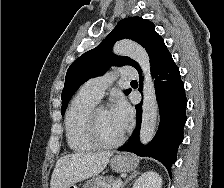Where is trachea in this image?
I'll return each instance as SVG.
<instances>
[{"label": "trachea", "instance_id": "3493384b", "mask_svg": "<svg viewBox=\"0 0 224 188\" xmlns=\"http://www.w3.org/2000/svg\"><path fill=\"white\" fill-rule=\"evenodd\" d=\"M131 83H137V81L136 80H132Z\"/></svg>", "mask_w": 224, "mask_h": 188}]
</instances>
